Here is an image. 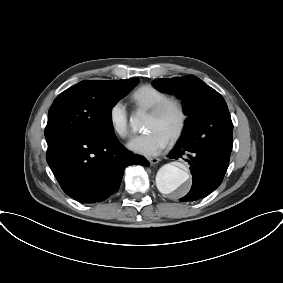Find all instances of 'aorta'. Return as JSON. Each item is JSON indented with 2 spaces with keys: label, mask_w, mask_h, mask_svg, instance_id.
<instances>
[{
  "label": "aorta",
  "mask_w": 283,
  "mask_h": 283,
  "mask_svg": "<svg viewBox=\"0 0 283 283\" xmlns=\"http://www.w3.org/2000/svg\"><path fill=\"white\" fill-rule=\"evenodd\" d=\"M130 123L133 127H139L140 120L131 118ZM189 179L187 168H181L174 164H165L156 175V185L158 190L166 195L179 196L183 193Z\"/></svg>",
  "instance_id": "1"
}]
</instances>
